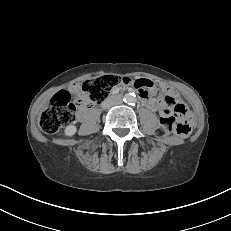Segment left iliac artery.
<instances>
[{
    "label": "left iliac artery",
    "mask_w": 231,
    "mask_h": 231,
    "mask_svg": "<svg viewBox=\"0 0 231 231\" xmlns=\"http://www.w3.org/2000/svg\"><path fill=\"white\" fill-rule=\"evenodd\" d=\"M135 102H136L135 100H132L131 104H132V105H135Z\"/></svg>",
    "instance_id": "1"
}]
</instances>
